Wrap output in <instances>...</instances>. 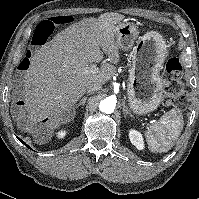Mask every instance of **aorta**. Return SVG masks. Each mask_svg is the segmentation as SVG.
Returning a JSON list of instances; mask_svg holds the SVG:
<instances>
[{"label": "aorta", "instance_id": "762f6f07", "mask_svg": "<svg viewBox=\"0 0 199 199\" xmlns=\"http://www.w3.org/2000/svg\"><path fill=\"white\" fill-rule=\"evenodd\" d=\"M99 109L103 113L111 114L115 110V103L111 99H104L100 102Z\"/></svg>", "mask_w": 199, "mask_h": 199}]
</instances>
